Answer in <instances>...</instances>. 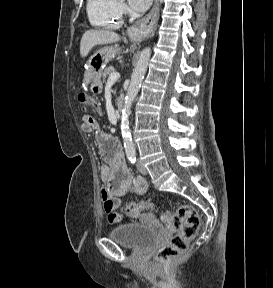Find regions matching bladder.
<instances>
[{"label":"bladder","mask_w":273,"mask_h":288,"mask_svg":"<svg viewBox=\"0 0 273 288\" xmlns=\"http://www.w3.org/2000/svg\"><path fill=\"white\" fill-rule=\"evenodd\" d=\"M109 236L116 243L126 248L144 252L157 243L160 233L155 227L140 223H129L116 226Z\"/></svg>","instance_id":"obj_1"}]
</instances>
